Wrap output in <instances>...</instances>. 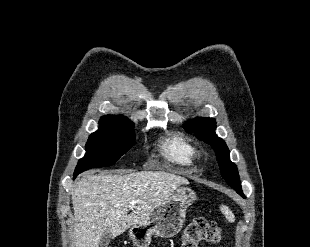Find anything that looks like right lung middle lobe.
<instances>
[{
    "label": "right lung middle lobe",
    "mask_w": 310,
    "mask_h": 247,
    "mask_svg": "<svg viewBox=\"0 0 310 247\" xmlns=\"http://www.w3.org/2000/svg\"><path fill=\"white\" fill-rule=\"evenodd\" d=\"M135 143L134 124L100 119L99 130L92 133L86 143V154L77 164L75 172L115 164Z\"/></svg>",
    "instance_id": "1"
}]
</instances>
